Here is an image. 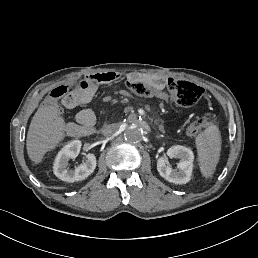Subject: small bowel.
<instances>
[{"label": "small bowel", "mask_w": 258, "mask_h": 258, "mask_svg": "<svg viewBox=\"0 0 258 258\" xmlns=\"http://www.w3.org/2000/svg\"><path fill=\"white\" fill-rule=\"evenodd\" d=\"M96 90V85L90 84L87 79L82 80L79 86L63 98L62 104L66 108H75L86 104L93 98ZM76 121L84 131L91 132L94 128L96 117L92 110L83 109L76 115Z\"/></svg>", "instance_id": "1"}]
</instances>
